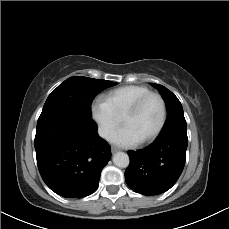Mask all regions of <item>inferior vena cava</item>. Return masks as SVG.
<instances>
[{
	"mask_svg": "<svg viewBox=\"0 0 229 229\" xmlns=\"http://www.w3.org/2000/svg\"><path fill=\"white\" fill-rule=\"evenodd\" d=\"M98 134L100 135V137H102V138H104V139H106L108 141H110L112 139V137H113L112 133L109 130L105 129V128H99L98 129Z\"/></svg>",
	"mask_w": 229,
	"mask_h": 229,
	"instance_id": "1",
	"label": "inferior vena cava"
}]
</instances>
